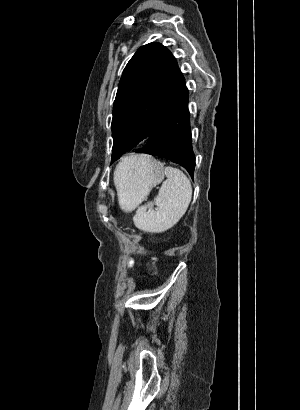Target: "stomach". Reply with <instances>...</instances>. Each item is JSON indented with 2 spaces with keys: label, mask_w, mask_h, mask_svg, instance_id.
I'll return each mask as SVG.
<instances>
[{
  "label": "stomach",
  "mask_w": 300,
  "mask_h": 410,
  "mask_svg": "<svg viewBox=\"0 0 300 410\" xmlns=\"http://www.w3.org/2000/svg\"><path fill=\"white\" fill-rule=\"evenodd\" d=\"M141 156V155H140ZM136 159L134 167L123 172L122 184L118 191L119 204L125 211L133 210L149 194L151 189L164 179V165L150 156Z\"/></svg>",
  "instance_id": "stomach-1"
}]
</instances>
